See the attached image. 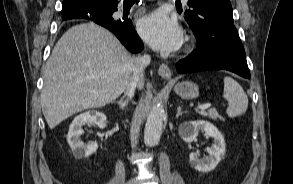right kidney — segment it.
I'll use <instances>...</instances> for the list:
<instances>
[{
    "mask_svg": "<svg viewBox=\"0 0 293 184\" xmlns=\"http://www.w3.org/2000/svg\"><path fill=\"white\" fill-rule=\"evenodd\" d=\"M89 123L96 124L99 128L104 129L107 126V117L99 111H88L74 118L66 137L76 158L88 157L98 149L96 142L84 143L80 139L83 134V126Z\"/></svg>",
    "mask_w": 293,
    "mask_h": 184,
    "instance_id": "right-kidney-1",
    "label": "right kidney"
}]
</instances>
